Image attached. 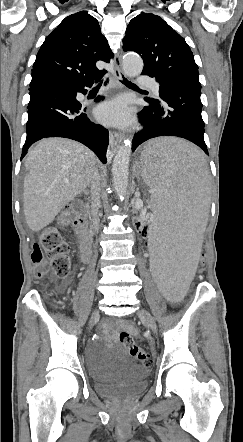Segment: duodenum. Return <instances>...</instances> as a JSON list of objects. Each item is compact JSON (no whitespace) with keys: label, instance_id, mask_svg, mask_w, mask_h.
<instances>
[{"label":"duodenum","instance_id":"1","mask_svg":"<svg viewBox=\"0 0 243 442\" xmlns=\"http://www.w3.org/2000/svg\"><path fill=\"white\" fill-rule=\"evenodd\" d=\"M88 213L87 207L84 204H78L77 218L74 222V231L80 242V259L84 263L91 261V247L88 243Z\"/></svg>","mask_w":243,"mask_h":442}]
</instances>
